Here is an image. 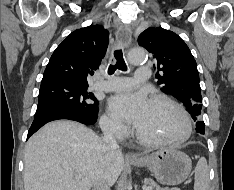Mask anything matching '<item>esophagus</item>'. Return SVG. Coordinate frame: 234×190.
<instances>
[{
  "label": "esophagus",
  "mask_w": 234,
  "mask_h": 190,
  "mask_svg": "<svg viewBox=\"0 0 234 190\" xmlns=\"http://www.w3.org/2000/svg\"><path fill=\"white\" fill-rule=\"evenodd\" d=\"M117 42L124 47H127L132 40L131 28L128 25L121 26L116 33ZM127 157L130 159H136L137 156L134 153H128Z\"/></svg>",
  "instance_id": "34e87169"
}]
</instances>
